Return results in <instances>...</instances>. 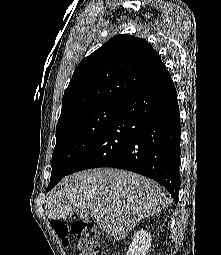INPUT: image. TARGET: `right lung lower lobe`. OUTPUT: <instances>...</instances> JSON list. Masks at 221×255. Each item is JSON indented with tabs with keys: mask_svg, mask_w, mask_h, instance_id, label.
<instances>
[{
	"mask_svg": "<svg viewBox=\"0 0 221 255\" xmlns=\"http://www.w3.org/2000/svg\"><path fill=\"white\" fill-rule=\"evenodd\" d=\"M180 134L176 89L164 71L119 105L67 175L97 167L133 171L162 184L177 203Z\"/></svg>",
	"mask_w": 221,
	"mask_h": 255,
	"instance_id": "1",
	"label": "right lung lower lobe"
}]
</instances>
